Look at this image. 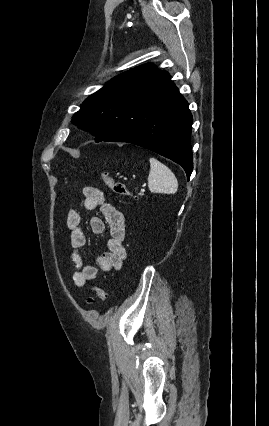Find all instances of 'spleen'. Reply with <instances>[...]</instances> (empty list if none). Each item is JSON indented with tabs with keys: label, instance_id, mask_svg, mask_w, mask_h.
Returning <instances> with one entry per match:
<instances>
[{
	"label": "spleen",
	"instance_id": "spleen-1",
	"mask_svg": "<svg viewBox=\"0 0 269 426\" xmlns=\"http://www.w3.org/2000/svg\"><path fill=\"white\" fill-rule=\"evenodd\" d=\"M149 162V190L153 193H176L178 189V182L173 172L166 165L153 157L150 158Z\"/></svg>",
	"mask_w": 269,
	"mask_h": 426
}]
</instances>
